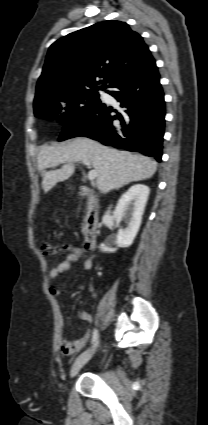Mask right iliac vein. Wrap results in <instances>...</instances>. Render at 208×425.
Returning <instances> with one entry per match:
<instances>
[{
	"label": "right iliac vein",
	"mask_w": 208,
	"mask_h": 425,
	"mask_svg": "<svg viewBox=\"0 0 208 425\" xmlns=\"http://www.w3.org/2000/svg\"><path fill=\"white\" fill-rule=\"evenodd\" d=\"M94 349L83 352L73 363L70 371V376L74 377L78 374L81 368L91 359Z\"/></svg>",
	"instance_id": "1"
}]
</instances>
